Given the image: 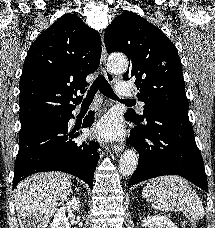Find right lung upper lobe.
Returning a JSON list of instances; mask_svg holds the SVG:
<instances>
[{
    "mask_svg": "<svg viewBox=\"0 0 215 228\" xmlns=\"http://www.w3.org/2000/svg\"><path fill=\"white\" fill-rule=\"evenodd\" d=\"M100 56V35L80 17L67 14L55 21L25 59L19 84L21 123L75 108L82 100L77 91L83 93L89 85L86 77L98 68Z\"/></svg>",
    "mask_w": 215,
    "mask_h": 228,
    "instance_id": "1",
    "label": "right lung upper lobe"
}]
</instances>
